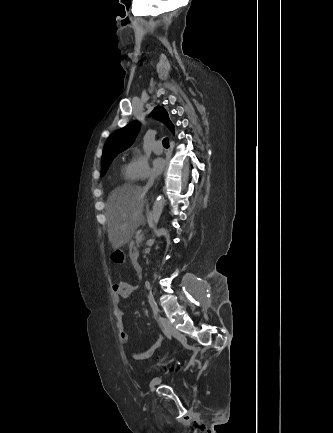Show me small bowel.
<instances>
[{"label":"small bowel","instance_id":"1","mask_svg":"<svg viewBox=\"0 0 333 433\" xmlns=\"http://www.w3.org/2000/svg\"><path fill=\"white\" fill-rule=\"evenodd\" d=\"M137 290V286L132 283L120 281L113 285V299L115 306V316L117 318V327L119 332V341L123 347L128 344V332L125 326V313L121 309L120 304L123 299L128 298ZM164 343V337L159 336L157 340L145 351L136 352L130 349H125V354L128 358L136 361H141L150 358Z\"/></svg>","mask_w":333,"mask_h":433}]
</instances>
